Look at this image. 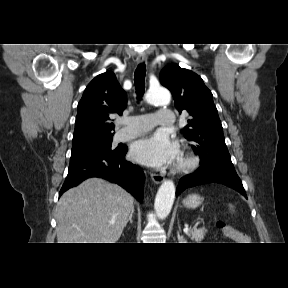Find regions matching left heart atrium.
I'll list each match as a JSON object with an SVG mask.
<instances>
[{
	"instance_id": "obj_1",
	"label": "left heart atrium",
	"mask_w": 288,
	"mask_h": 288,
	"mask_svg": "<svg viewBox=\"0 0 288 288\" xmlns=\"http://www.w3.org/2000/svg\"><path fill=\"white\" fill-rule=\"evenodd\" d=\"M177 143L164 131H157L137 140L131 149L132 158L144 165L163 167L178 156Z\"/></svg>"
}]
</instances>
